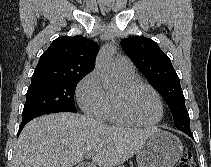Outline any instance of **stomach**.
<instances>
[{"instance_id": "stomach-1", "label": "stomach", "mask_w": 211, "mask_h": 167, "mask_svg": "<svg viewBox=\"0 0 211 167\" xmlns=\"http://www.w3.org/2000/svg\"><path fill=\"white\" fill-rule=\"evenodd\" d=\"M183 154L182 142L173 134L155 129L137 152L138 167H174Z\"/></svg>"}]
</instances>
